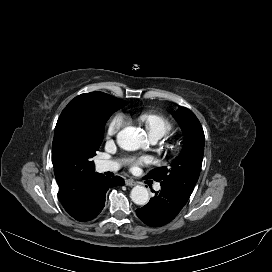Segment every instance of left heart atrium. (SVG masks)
<instances>
[{
  "label": "left heart atrium",
  "instance_id": "39dd6f15",
  "mask_svg": "<svg viewBox=\"0 0 272 272\" xmlns=\"http://www.w3.org/2000/svg\"><path fill=\"white\" fill-rule=\"evenodd\" d=\"M142 161H143V162H147V161H148V159H143Z\"/></svg>",
  "mask_w": 272,
  "mask_h": 272
}]
</instances>
